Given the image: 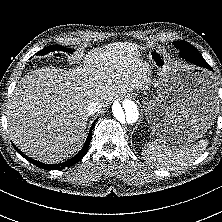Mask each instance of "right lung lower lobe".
<instances>
[{"label":"right lung lower lobe","mask_w":222,"mask_h":222,"mask_svg":"<svg viewBox=\"0 0 222 222\" xmlns=\"http://www.w3.org/2000/svg\"><path fill=\"white\" fill-rule=\"evenodd\" d=\"M97 119L93 122L92 126H91V129L89 131V134L87 136V139L85 141V144L84 146L82 147L81 151L76 155L74 156L73 158L63 162V163H60V164H55V165H50V164H44V163H41L37 160H34L26 155H24L17 147H15V150L21 155L23 156L26 160H28L29 162H31L32 164L42 168V169H47V170H57V169H62V168H65V167H70L74 164H76L78 161H80L84 155L86 154L88 148H89V145H90V141H91V137H92V128L93 126L95 125ZM14 146V145H13Z\"/></svg>","instance_id":"1"}]
</instances>
